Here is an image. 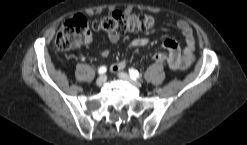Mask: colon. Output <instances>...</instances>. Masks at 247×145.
Here are the masks:
<instances>
[{
  "label": "colon",
  "instance_id": "5ec220e1",
  "mask_svg": "<svg viewBox=\"0 0 247 145\" xmlns=\"http://www.w3.org/2000/svg\"><path fill=\"white\" fill-rule=\"evenodd\" d=\"M154 26V18L145 13L140 14H124L121 12H113L96 20L92 27L97 32H107L113 34H123L126 32L147 31ZM91 38L86 18L77 14L64 22L58 30L55 46L60 51L70 50ZM164 60L165 57H158Z\"/></svg>",
  "mask_w": 247,
  "mask_h": 145
}]
</instances>
